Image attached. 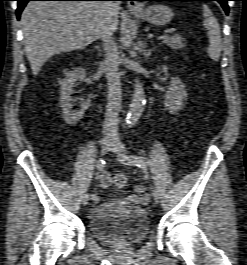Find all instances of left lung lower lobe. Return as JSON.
I'll return each mask as SVG.
<instances>
[{"instance_id":"0a47b994","label":"left lung lower lobe","mask_w":247,"mask_h":265,"mask_svg":"<svg viewBox=\"0 0 247 265\" xmlns=\"http://www.w3.org/2000/svg\"><path fill=\"white\" fill-rule=\"evenodd\" d=\"M136 1H178V0H136ZM193 1H218L223 7L226 14L229 13V7L227 4V1H230V0H193Z\"/></svg>"}]
</instances>
